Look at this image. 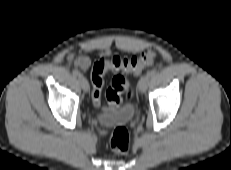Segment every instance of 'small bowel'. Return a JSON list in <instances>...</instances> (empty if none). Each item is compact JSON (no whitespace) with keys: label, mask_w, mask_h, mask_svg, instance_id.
Wrapping results in <instances>:
<instances>
[{"label":"small bowel","mask_w":231,"mask_h":170,"mask_svg":"<svg viewBox=\"0 0 231 170\" xmlns=\"http://www.w3.org/2000/svg\"><path fill=\"white\" fill-rule=\"evenodd\" d=\"M106 54H109V51H106ZM67 60L81 71H87L91 64L90 58L82 53H69Z\"/></svg>","instance_id":"obj_1"}]
</instances>
